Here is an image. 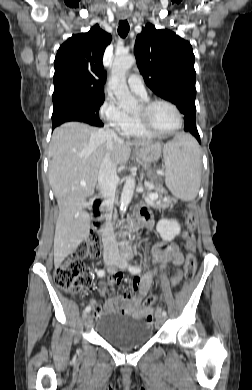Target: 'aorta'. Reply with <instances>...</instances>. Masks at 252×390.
I'll list each match as a JSON object with an SVG mask.
<instances>
[{
	"label": "aorta",
	"instance_id": "obj_1",
	"mask_svg": "<svg viewBox=\"0 0 252 390\" xmlns=\"http://www.w3.org/2000/svg\"><path fill=\"white\" fill-rule=\"evenodd\" d=\"M135 58L132 55L116 56L111 68V76L108 82L113 91L117 103L122 110L133 112L137 109L138 101L131 95L127 83L126 73L134 65ZM135 189V179L129 176L123 186L120 199V211L124 213L130 204Z\"/></svg>",
	"mask_w": 252,
	"mask_h": 390
}]
</instances>
